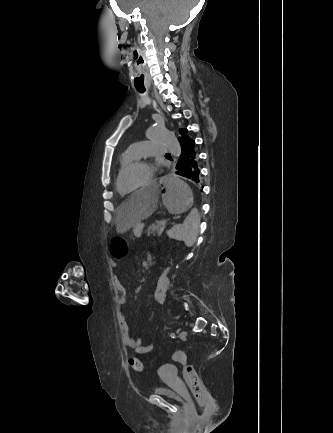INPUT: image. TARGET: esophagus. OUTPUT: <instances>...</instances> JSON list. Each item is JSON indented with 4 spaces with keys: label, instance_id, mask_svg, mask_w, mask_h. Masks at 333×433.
<instances>
[{
    "label": "esophagus",
    "instance_id": "obj_1",
    "mask_svg": "<svg viewBox=\"0 0 333 433\" xmlns=\"http://www.w3.org/2000/svg\"><path fill=\"white\" fill-rule=\"evenodd\" d=\"M152 106L159 114L162 115V112H161L159 106L157 105V103L154 100L152 101Z\"/></svg>",
    "mask_w": 333,
    "mask_h": 433
}]
</instances>
